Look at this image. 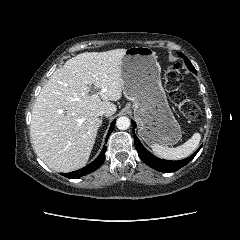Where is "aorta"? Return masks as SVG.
<instances>
[{
	"mask_svg": "<svg viewBox=\"0 0 240 240\" xmlns=\"http://www.w3.org/2000/svg\"><path fill=\"white\" fill-rule=\"evenodd\" d=\"M130 119L128 117L122 116L119 117L116 121V126L120 130H126L130 127Z\"/></svg>",
	"mask_w": 240,
	"mask_h": 240,
	"instance_id": "obj_1",
	"label": "aorta"
}]
</instances>
